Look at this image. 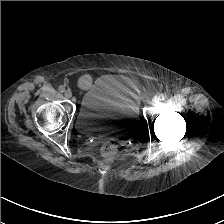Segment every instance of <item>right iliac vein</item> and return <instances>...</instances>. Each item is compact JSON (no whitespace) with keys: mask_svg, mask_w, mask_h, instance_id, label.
Segmentation results:
<instances>
[{"mask_svg":"<svg viewBox=\"0 0 224 224\" xmlns=\"http://www.w3.org/2000/svg\"><path fill=\"white\" fill-rule=\"evenodd\" d=\"M64 95H65L66 98H71V97H72V92H71V90H66V91L64 92Z\"/></svg>","mask_w":224,"mask_h":224,"instance_id":"1","label":"right iliac vein"}]
</instances>
